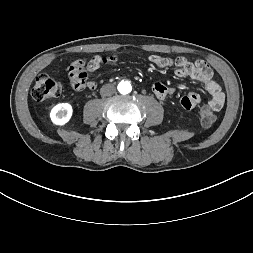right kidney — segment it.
<instances>
[{
	"label": "right kidney",
	"mask_w": 253,
	"mask_h": 253,
	"mask_svg": "<svg viewBox=\"0 0 253 253\" xmlns=\"http://www.w3.org/2000/svg\"><path fill=\"white\" fill-rule=\"evenodd\" d=\"M72 106L68 103H59L50 112V118L56 125L66 124L72 116Z\"/></svg>",
	"instance_id": "ca27d5eb"
}]
</instances>
